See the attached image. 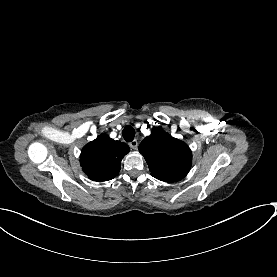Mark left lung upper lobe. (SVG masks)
I'll return each instance as SVG.
<instances>
[{"label":"left lung upper lobe","instance_id":"5c2ea615","mask_svg":"<svg viewBox=\"0 0 277 277\" xmlns=\"http://www.w3.org/2000/svg\"><path fill=\"white\" fill-rule=\"evenodd\" d=\"M151 175L165 182H176L189 172L192 152L188 145L167 132L156 129L139 145Z\"/></svg>","mask_w":277,"mask_h":277}]
</instances>
